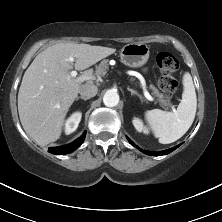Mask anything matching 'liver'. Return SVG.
<instances>
[{"label": "liver", "mask_w": 222, "mask_h": 222, "mask_svg": "<svg viewBox=\"0 0 222 222\" xmlns=\"http://www.w3.org/2000/svg\"><path fill=\"white\" fill-rule=\"evenodd\" d=\"M116 51L89 44L59 43L39 53L24 73L18 93V112L26 133L39 145L61 136L65 117L85 80L93 71L74 78L73 67L82 71ZM73 57L75 63L69 61Z\"/></svg>", "instance_id": "obj_1"}]
</instances>
